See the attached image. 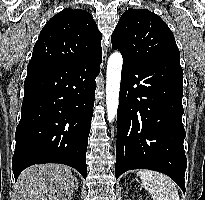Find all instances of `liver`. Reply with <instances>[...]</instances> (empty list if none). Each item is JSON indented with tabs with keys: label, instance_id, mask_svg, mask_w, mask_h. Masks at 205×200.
Instances as JSON below:
<instances>
[{
	"label": "liver",
	"instance_id": "liver-1",
	"mask_svg": "<svg viewBox=\"0 0 205 200\" xmlns=\"http://www.w3.org/2000/svg\"><path fill=\"white\" fill-rule=\"evenodd\" d=\"M75 179L65 165L30 166L16 183L17 200H72Z\"/></svg>",
	"mask_w": 205,
	"mask_h": 200
}]
</instances>
